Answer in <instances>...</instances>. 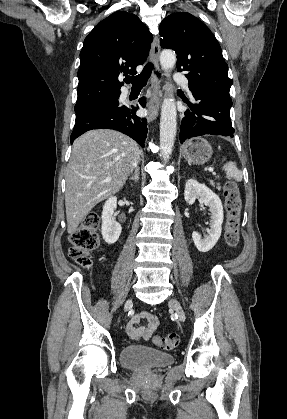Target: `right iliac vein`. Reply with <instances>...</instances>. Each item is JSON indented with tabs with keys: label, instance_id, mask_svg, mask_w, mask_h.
Masks as SVG:
<instances>
[{
	"label": "right iliac vein",
	"instance_id": "1",
	"mask_svg": "<svg viewBox=\"0 0 287 419\" xmlns=\"http://www.w3.org/2000/svg\"><path fill=\"white\" fill-rule=\"evenodd\" d=\"M132 305V299H128L126 304H125V311L128 310V308Z\"/></svg>",
	"mask_w": 287,
	"mask_h": 419
}]
</instances>
